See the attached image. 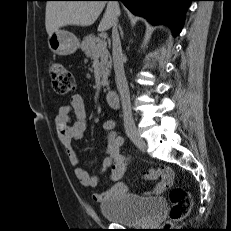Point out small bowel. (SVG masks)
Wrapping results in <instances>:
<instances>
[{
  "label": "small bowel",
  "mask_w": 231,
  "mask_h": 231,
  "mask_svg": "<svg viewBox=\"0 0 231 231\" xmlns=\"http://www.w3.org/2000/svg\"><path fill=\"white\" fill-rule=\"evenodd\" d=\"M86 119L84 98L80 94H75L71 97L69 104L62 105L58 109L54 127L69 163L75 167L74 173L77 179L85 187L96 188L99 178L79 166V157L73 148V142L81 140L84 136L87 127ZM103 128L107 133L106 157L100 170L104 172L110 169L109 179L113 184L102 193H93V200L99 203L123 197L128 193V186L121 181L127 167V158L121 152L122 144L120 136L115 131V121L113 119L106 120ZM159 172L160 181L150 191L153 195L162 194L172 184L174 178V173L170 168H161Z\"/></svg>",
  "instance_id": "small-bowel-1"
}]
</instances>
